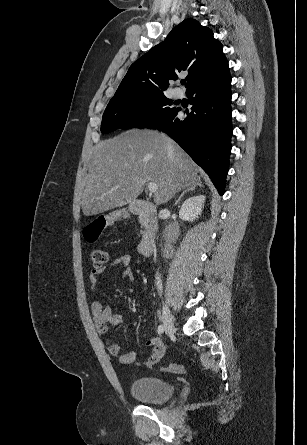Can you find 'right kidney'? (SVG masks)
<instances>
[{"mask_svg": "<svg viewBox=\"0 0 307 445\" xmlns=\"http://www.w3.org/2000/svg\"><path fill=\"white\" fill-rule=\"evenodd\" d=\"M205 198L206 196H204V194H199V196H190V198L184 200L179 210L180 218H182V220H195V218H199L198 214H201Z\"/></svg>", "mask_w": 307, "mask_h": 445, "instance_id": "ca27d5eb", "label": "right kidney"}]
</instances>
